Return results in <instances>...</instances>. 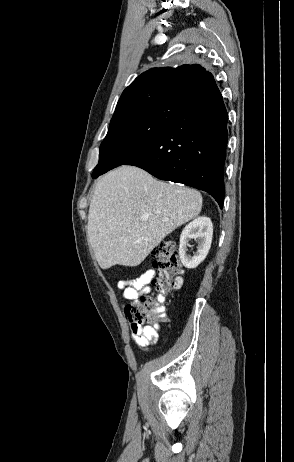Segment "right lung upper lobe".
Segmentation results:
<instances>
[{"mask_svg":"<svg viewBox=\"0 0 294 462\" xmlns=\"http://www.w3.org/2000/svg\"><path fill=\"white\" fill-rule=\"evenodd\" d=\"M215 83L213 75L198 64L177 68H152L139 75L122 93L115 112L157 96L180 93L198 94Z\"/></svg>","mask_w":294,"mask_h":462,"instance_id":"1","label":"right lung upper lobe"}]
</instances>
